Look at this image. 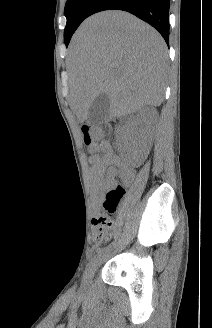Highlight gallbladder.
<instances>
[{
    "instance_id": "bac80fb5",
    "label": "gallbladder",
    "mask_w": 212,
    "mask_h": 328,
    "mask_svg": "<svg viewBox=\"0 0 212 328\" xmlns=\"http://www.w3.org/2000/svg\"><path fill=\"white\" fill-rule=\"evenodd\" d=\"M110 98L106 93H101L92 102L89 111L87 122L90 125H98L109 116Z\"/></svg>"
}]
</instances>
